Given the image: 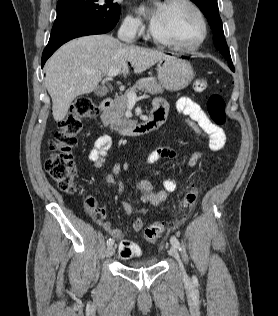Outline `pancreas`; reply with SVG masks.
<instances>
[{"label":"pancreas","mask_w":278,"mask_h":316,"mask_svg":"<svg viewBox=\"0 0 278 316\" xmlns=\"http://www.w3.org/2000/svg\"><path fill=\"white\" fill-rule=\"evenodd\" d=\"M137 91H142L145 93L161 94L163 93V88L160 84L157 83L154 77L149 78H140L135 85H133L130 89L127 90V93ZM128 106V99L126 95H122L115 99V106L113 109L107 114L105 123L109 124L111 129L117 131L119 129H124L130 124V120L125 118V112Z\"/></svg>","instance_id":"cf45deb5"}]
</instances>
